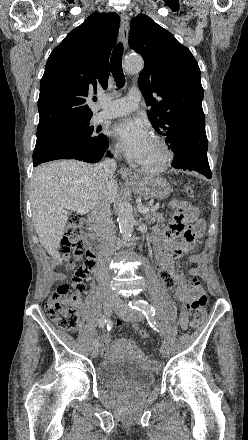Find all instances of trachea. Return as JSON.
I'll use <instances>...</instances> for the list:
<instances>
[{
    "mask_svg": "<svg viewBox=\"0 0 248 440\" xmlns=\"http://www.w3.org/2000/svg\"><path fill=\"white\" fill-rule=\"evenodd\" d=\"M122 55H123V46L121 43H119L113 50L110 59L111 73L114 77L116 86L118 88H122L125 84V78L122 69Z\"/></svg>",
    "mask_w": 248,
    "mask_h": 440,
    "instance_id": "3493384b",
    "label": "trachea"
}]
</instances>
